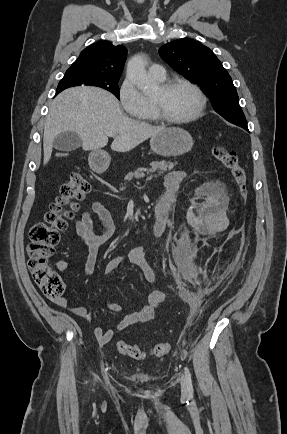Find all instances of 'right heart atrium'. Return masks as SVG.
<instances>
[{
  "label": "right heart atrium",
  "mask_w": 287,
  "mask_h": 434,
  "mask_svg": "<svg viewBox=\"0 0 287 434\" xmlns=\"http://www.w3.org/2000/svg\"><path fill=\"white\" fill-rule=\"evenodd\" d=\"M119 100L124 111L131 116H139L148 107V99L129 77L120 85Z\"/></svg>",
  "instance_id": "1"
}]
</instances>
